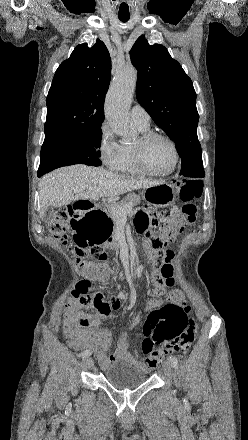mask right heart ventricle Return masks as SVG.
I'll return each instance as SVG.
<instances>
[{
    "label": "right heart ventricle",
    "mask_w": 248,
    "mask_h": 440,
    "mask_svg": "<svg viewBox=\"0 0 248 440\" xmlns=\"http://www.w3.org/2000/svg\"><path fill=\"white\" fill-rule=\"evenodd\" d=\"M136 128L141 132L145 133L148 132V127H140L136 125ZM117 172L123 173V174H139L135 162H134V156H133V145L130 144H123L122 145V159L115 170Z\"/></svg>",
    "instance_id": "1"
}]
</instances>
